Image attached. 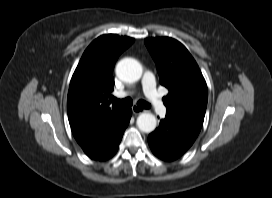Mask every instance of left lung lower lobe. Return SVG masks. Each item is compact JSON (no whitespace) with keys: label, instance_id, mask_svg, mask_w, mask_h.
<instances>
[{"label":"left lung lower lobe","instance_id":"obj_1","mask_svg":"<svg viewBox=\"0 0 272 198\" xmlns=\"http://www.w3.org/2000/svg\"><path fill=\"white\" fill-rule=\"evenodd\" d=\"M201 127V123L167 113L158 128L149 135L148 143L157 157L172 161L192 146Z\"/></svg>","mask_w":272,"mask_h":198}]
</instances>
